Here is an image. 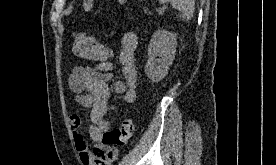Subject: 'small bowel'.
<instances>
[{"mask_svg":"<svg viewBox=\"0 0 276 165\" xmlns=\"http://www.w3.org/2000/svg\"><path fill=\"white\" fill-rule=\"evenodd\" d=\"M120 44L118 59L123 78L114 81L113 89L115 93L122 95L126 103L132 104L136 100L137 35L133 32L123 34ZM111 78L110 62H102L94 66H77L68 78V86L76 94L77 103L90 111L89 135L95 142L94 148L91 149L81 131V117L72 115L70 126L82 165H111L116 159V150L104 146L101 142L103 134L111 129V122L107 118L110 96L108 82Z\"/></svg>","mask_w":276,"mask_h":165,"instance_id":"obj_1","label":"small bowel"}]
</instances>
